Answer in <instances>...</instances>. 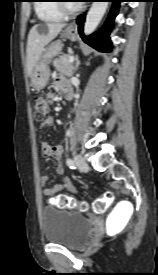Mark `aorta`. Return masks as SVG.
<instances>
[{"label":"aorta","mask_w":158,"mask_h":275,"mask_svg":"<svg viewBox=\"0 0 158 275\" xmlns=\"http://www.w3.org/2000/svg\"><path fill=\"white\" fill-rule=\"evenodd\" d=\"M107 7L108 2H93L84 24L85 35L91 34L96 29L103 18Z\"/></svg>","instance_id":"1"}]
</instances>
